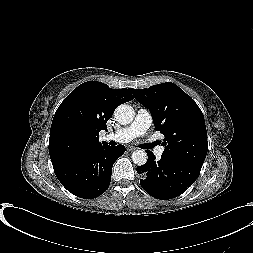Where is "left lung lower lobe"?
<instances>
[{
  "label": "left lung lower lobe",
  "mask_w": 253,
  "mask_h": 253,
  "mask_svg": "<svg viewBox=\"0 0 253 253\" xmlns=\"http://www.w3.org/2000/svg\"><path fill=\"white\" fill-rule=\"evenodd\" d=\"M146 152L148 160L137 167V172L142 176V188L157 199H172L181 195L199 176L201 168L195 165L165 155L155 161L154 154Z\"/></svg>",
  "instance_id": "obj_1"
}]
</instances>
